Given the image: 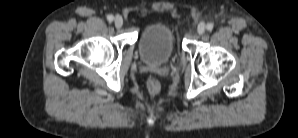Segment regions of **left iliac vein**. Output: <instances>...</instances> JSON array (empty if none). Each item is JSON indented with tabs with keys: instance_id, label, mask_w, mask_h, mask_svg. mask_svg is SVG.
I'll return each mask as SVG.
<instances>
[{
	"instance_id": "obj_1",
	"label": "left iliac vein",
	"mask_w": 298,
	"mask_h": 138,
	"mask_svg": "<svg viewBox=\"0 0 298 138\" xmlns=\"http://www.w3.org/2000/svg\"><path fill=\"white\" fill-rule=\"evenodd\" d=\"M206 30V26L205 23L201 22L199 23V25L197 26V32L198 34L202 35Z\"/></svg>"
}]
</instances>
